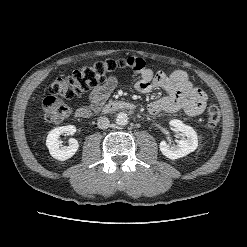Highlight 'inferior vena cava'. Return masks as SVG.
I'll list each match as a JSON object with an SVG mask.
<instances>
[{
  "label": "inferior vena cava",
  "instance_id": "inferior-vena-cava-1",
  "mask_svg": "<svg viewBox=\"0 0 247 247\" xmlns=\"http://www.w3.org/2000/svg\"><path fill=\"white\" fill-rule=\"evenodd\" d=\"M110 125V121L107 117H99L97 120V126L100 129H107Z\"/></svg>",
  "mask_w": 247,
  "mask_h": 247
}]
</instances>
